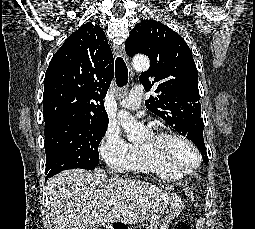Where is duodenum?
Here are the masks:
<instances>
[{
  "mask_svg": "<svg viewBox=\"0 0 255 229\" xmlns=\"http://www.w3.org/2000/svg\"><path fill=\"white\" fill-rule=\"evenodd\" d=\"M107 229H127V226L124 223L114 222L111 223Z\"/></svg>",
  "mask_w": 255,
  "mask_h": 229,
  "instance_id": "obj_1",
  "label": "duodenum"
}]
</instances>
